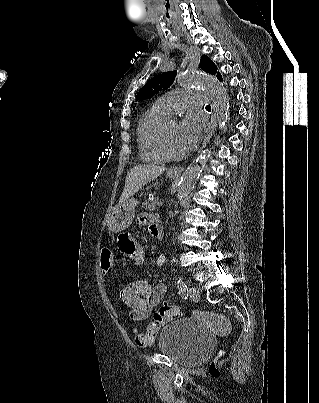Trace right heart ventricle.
Masks as SVG:
<instances>
[{"label":"right heart ventricle","instance_id":"e07e8e85","mask_svg":"<svg viewBox=\"0 0 319 403\" xmlns=\"http://www.w3.org/2000/svg\"><path fill=\"white\" fill-rule=\"evenodd\" d=\"M169 115L168 112L153 104L141 116L137 127V141L139 155L143 161L159 164L167 160L159 148V134Z\"/></svg>","mask_w":319,"mask_h":403}]
</instances>
